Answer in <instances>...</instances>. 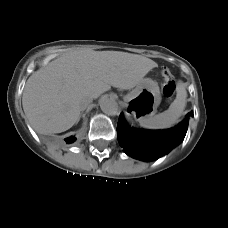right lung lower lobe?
I'll return each instance as SVG.
<instances>
[{
    "mask_svg": "<svg viewBox=\"0 0 228 228\" xmlns=\"http://www.w3.org/2000/svg\"><path fill=\"white\" fill-rule=\"evenodd\" d=\"M64 140H65L66 144H71L76 141V138L74 136H69V137L65 138Z\"/></svg>",
    "mask_w": 228,
    "mask_h": 228,
    "instance_id": "right-lung-lower-lobe-1",
    "label": "right lung lower lobe"
}]
</instances>
